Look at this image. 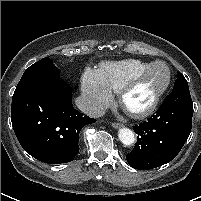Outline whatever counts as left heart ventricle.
I'll return each instance as SVG.
<instances>
[{
	"mask_svg": "<svg viewBox=\"0 0 201 201\" xmlns=\"http://www.w3.org/2000/svg\"><path fill=\"white\" fill-rule=\"evenodd\" d=\"M167 80V69L163 65L154 66L148 74L128 94L126 103L132 109L146 105L163 87Z\"/></svg>",
	"mask_w": 201,
	"mask_h": 201,
	"instance_id": "b2bd125f",
	"label": "left heart ventricle"
}]
</instances>
